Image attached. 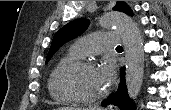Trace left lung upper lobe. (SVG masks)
Segmentation results:
<instances>
[{
	"instance_id": "1",
	"label": "left lung upper lobe",
	"mask_w": 171,
	"mask_h": 110,
	"mask_svg": "<svg viewBox=\"0 0 171 110\" xmlns=\"http://www.w3.org/2000/svg\"><path fill=\"white\" fill-rule=\"evenodd\" d=\"M115 11L123 12L127 15H133L132 10L124 1H117ZM89 21L84 18L76 19L63 26L54 36L50 50L48 52L46 63L51 59L52 55L67 41L74 39L82 34L88 27Z\"/></svg>"
}]
</instances>
